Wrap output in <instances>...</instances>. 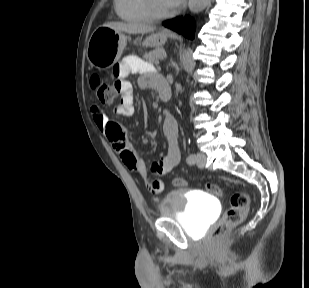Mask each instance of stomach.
Masks as SVG:
<instances>
[{
    "label": "stomach",
    "instance_id": "1",
    "mask_svg": "<svg viewBox=\"0 0 309 288\" xmlns=\"http://www.w3.org/2000/svg\"><path fill=\"white\" fill-rule=\"evenodd\" d=\"M130 37L123 32L109 27L100 26L90 36L87 45V59L98 69H107L113 66L121 57ZM136 41H141L137 39ZM167 41L163 33H152L143 41L147 47H161Z\"/></svg>",
    "mask_w": 309,
    "mask_h": 288
}]
</instances>
